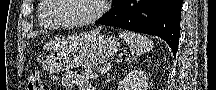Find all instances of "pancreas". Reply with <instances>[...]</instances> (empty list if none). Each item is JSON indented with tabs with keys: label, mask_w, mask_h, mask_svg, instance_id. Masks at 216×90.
<instances>
[{
	"label": "pancreas",
	"mask_w": 216,
	"mask_h": 90,
	"mask_svg": "<svg viewBox=\"0 0 216 90\" xmlns=\"http://www.w3.org/2000/svg\"><path fill=\"white\" fill-rule=\"evenodd\" d=\"M99 67H87L84 72H81L83 80H97Z\"/></svg>",
	"instance_id": "pancreas-1"
}]
</instances>
